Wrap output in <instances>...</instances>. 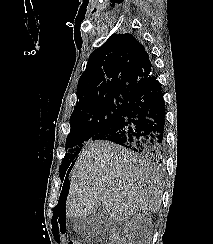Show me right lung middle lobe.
Wrapping results in <instances>:
<instances>
[{"mask_svg":"<svg viewBox=\"0 0 213 244\" xmlns=\"http://www.w3.org/2000/svg\"><path fill=\"white\" fill-rule=\"evenodd\" d=\"M130 99L131 97L126 95H108L74 108L70 117L71 129L66 140L68 153L60 166L62 180L83 144L109 130L120 118Z\"/></svg>","mask_w":213,"mask_h":244,"instance_id":"dd1d6c3e","label":"right lung middle lobe"}]
</instances>
